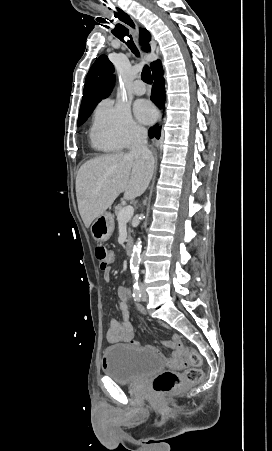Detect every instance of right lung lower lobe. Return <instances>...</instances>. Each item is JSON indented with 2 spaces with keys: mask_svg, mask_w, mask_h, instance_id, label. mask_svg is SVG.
Here are the masks:
<instances>
[{
  "mask_svg": "<svg viewBox=\"0 0 272 451\" xmlns=\"http://www.w3.org/2000/svg\"><path fill=\"white\" fill-rule=\"evenodd\" d=\"M152 75L154 79V85L152 87L151 100L158 106L163 107L165 105V88H164V78H163V68L161 62H159L153 69ZM149 136L159 138L160 127L155 125L149 129Z\"/></svg>",
  "mask_w": 272,
  "mask_h": 451,
  "instance_id": "obj_1",
  "label": "right lung lower lobe"
}]
</instances>
